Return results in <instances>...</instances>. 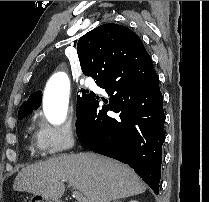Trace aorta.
I'll use <instances>...</instances> for the list:
<instances>
[{"label":"aorta","instance_id":"762f6f07","mask_svg":"<svg viewBox=\"0 0 209 202\" xmlns=\"http://www.w3.org/2000/svg\"><path fill=\"white\" fill-rule=\"evenodd\" d=\"M70 83L63 72L54 74L48 81L43 96V110L47 120L62 124L67 116Z\"/></svg>","mask_w":209,"mask_h":202}]
</instances>
